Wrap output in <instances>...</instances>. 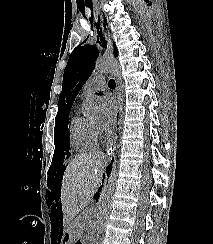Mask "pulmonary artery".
<instances>
[{
  "label": "pulmonary artery",
  "mask_w": 213,
  "mask_h": 244,
  "mask_svg": "<svg viewBox=\"0 0 213 244\" xmlns=\"http://www.w3.org/2000/svg\"><path fill=\"white\" fill-rule=\"evenodd\" d=\"M106 89V81L103 76L101 75H94L91 77L85 85L83 86L82 89V96L91 94V93H96V92H101Z\"/></svg>",
  "instance_id": "obj_1"
}]
</instances>
